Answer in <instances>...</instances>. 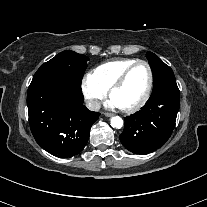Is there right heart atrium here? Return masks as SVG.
Here are the masks:
<instances>
[{
	"label": "right heart atrium",
	"instance_id": "right-heart-atrium-1",
	"mask_svg": "<svg viewBox=\"0 0 207 207\" xmlns=\"http://www.w3.org/2000/svg\"><path fill=\"white\" fill-rule=\"evenodd\" d=\"M81 90L88 105L93 109L98 108L100 101L107 95V91L98 85L90 75L83 78Z\"/></svg>",
	"mask_w": 207,
	"mask_h": 207
}]
</instances>
